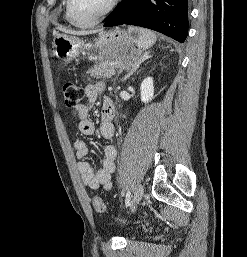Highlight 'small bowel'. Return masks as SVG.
Masks as SVG:
<instances>
[{"mask_svg": "<svg viewBox=\"0 0 247 257\" xmlns=\"http://www.w3.org/2000/svg\"><path fill=\"white\" fill-rule=\"evenodd\" d=\"M104 90L105 85L103 83L88 85L84 90L88 103L78 104L72 110V118L78 122V128L83 134L91 135L95 131V125L89 118V105L92 104ZM113 116V103L109 98L105 97L99 125L100 134L105 139H111L114 136L115 128L112 123ZM74 149L76 157L79 160L77 168L81 174L83 183L93 190L99 189L100 187L109 190L112 186V174L116 167L117 149L115 146L107 145L104 148L102 167L97 171L86 161L89 154V147L85 141L82 139L75 140Z\"/></svg>", "mask_w": 247, "mask_h": 257, "instance_id": "1", "label": "small bowel"}]
</instances>
